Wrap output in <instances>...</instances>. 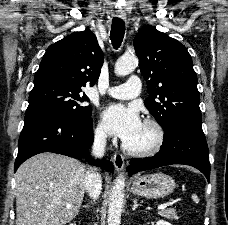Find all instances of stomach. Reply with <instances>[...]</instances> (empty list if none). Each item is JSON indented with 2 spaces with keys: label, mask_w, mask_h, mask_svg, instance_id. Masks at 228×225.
<instances>
[{
  "label": "stomach",
  "mask_w": 228,
  "mask_h": 225,
  "mask_svg": "<svg viewBox=\"0 0 228 225\" xmlns=\"http://www.w3.org/2000/svg\"><path fill=\"white\" fill-rule=\"evenodd\" d=\"M174 189H176L175 181L163 173L135 177L130 187L131 193L139 197H147V199H162L173 193Z\"/></svg>",
  "instance_id": "0dacf381"
}]
</instances>
